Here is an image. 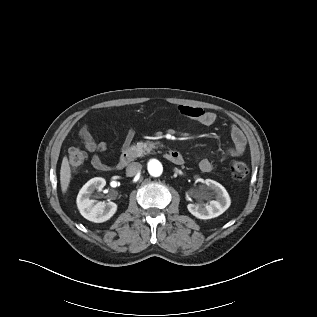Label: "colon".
Masks as SVG:
<instances>
[{"label": "colon", "instance_id": "colon-1", "mask_svg": "<svg viewBox=\"0 0 317 317\" xmlns=\"http://www.w3.org/2000/svg\"><path fill=\"white\" fill-rule=\"evenodd\" d=\"M86 159V153L80 145H74L68 151V164L71 170H78ZM231 176L237 180H243L248 174V166L243 160H235L229 166Z\"/></svg>", "mask_w": 317, "mask_h": 317}]
</instances>
